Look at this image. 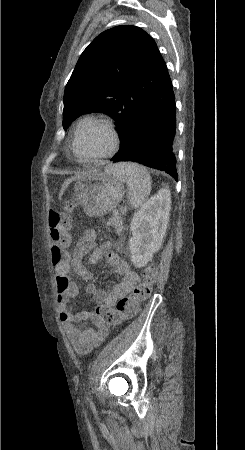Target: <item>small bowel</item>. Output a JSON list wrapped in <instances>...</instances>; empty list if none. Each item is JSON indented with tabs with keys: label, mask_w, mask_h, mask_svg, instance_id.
<instances>
[{
	"label": "small bowel",
	"mask_w": 245,
	"mask_h": 450,
	"mask_svg": "<svg viewBox=\"0 0 245 450\" xmlns=\"http://www.w3.org/2000/svg\"><path fill=\"white\" fill-rule=\"evenodd\" d=\"M90 254L89 263L96 265L101 261L118 276L119 280L108 292H102L94 284H88L86 291L96 303L115 306L120 298L131 292L139 281V276L128 263L113 252V244L109 241L98 244L92 231L84 234L76 243L73 253L54 268L57 300L60 305L59 319L64 324L70 342L81 355L88 354L99 345L108 334V326L96 319L95 312H73L68 302L78 295V285L70 281V272L74 270L82 278H90V272L83 264L84 258ZM90 320L94 327L85 325Z\"/></svg>",
	"instance_id": "obj_1"
}]
</instances>
